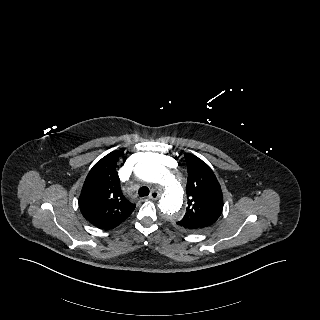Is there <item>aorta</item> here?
Returning a JSON list of instances; mask_svg holds the SVG:
<instances>
[{
	"label": "aorta",
	"instance_id": "obj_1",
	"mask_svg": "<svg viewBox=\"0 0 320 320\" xmlns=\"http://www.w3.org/2000/svg\"><path fill=\"white\" fill-rule=\"evenodd\" d=\"M157 153H146L134 167V174L143 181L160 184L165 187L159 208L169 219H180L183 215L181 206L183 203L182 189L174 175L161 163Z\"/></svg>",
	"mask_w": 320,
	"mask_h": 320
}]
</instances>
